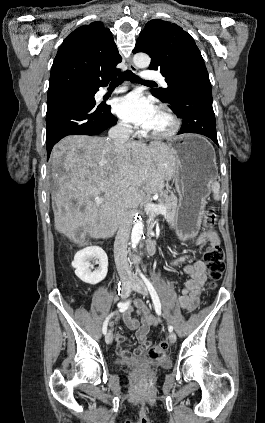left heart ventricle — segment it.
Here are the masks:
<instances>
[{
  "label": "left heart ventricle",
  "instance_id": "1",
  "mask_svg": "<svg viewBox=\"0 0 265 423\" xmlns=\"http://www.w3.org/2000/svg\"><path fill=\"white\" fill-rule=\"evenodd\" d=\"M170 126L169 119L159 110L157 111L152 124L148 128L151 131L165 130Z\"/></svg>",
  "mask_w": 265,
  "mask_h": 423
}]
</instances>
